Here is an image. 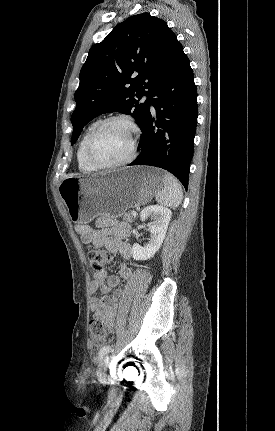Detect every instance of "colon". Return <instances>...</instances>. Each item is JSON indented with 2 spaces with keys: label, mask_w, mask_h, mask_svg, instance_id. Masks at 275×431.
<instances>
[{
  "label": "colon",
  "mask_w": 275,
  "mask_h": 431,
  "mask_svg": "<svg viewBox=\"0 0 275 431\" xmlns=\"http://www.w3.org/2000/svg\"><path fill=\"white\" fill-rule=\"evenodd\" d=\"M88 260L91 267L96 272H102L110 261V256L103 249H91L88 252ZM89 334L93 343L97 346L103 345L108 339L104 324L99 320L93 319L89 325Z\"/></svg>",
  "instance_id": "1"
}]
</instances>
